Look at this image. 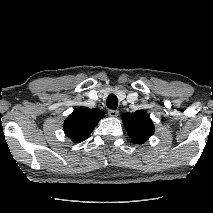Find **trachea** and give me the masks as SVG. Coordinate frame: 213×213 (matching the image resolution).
Here are the masks:
<instances>
[{
	"label": "trachea",
	"instance_id": "obj_1",
	"mask_svg": "<svg viewBox=\"0 0 213 213\" xmlns=\"http://www.w3.org/2000/svg\"><path fill=\"white\" fill-rule=\"evenodd\" d=\"M106 104H107V107L112 109V110H115L118 106V98L116 97L115 94H110L108 97H107V101H106Z\"/></svg>",
	"mask_w": 213,
	"mask_h": 213
}]
</instances>
